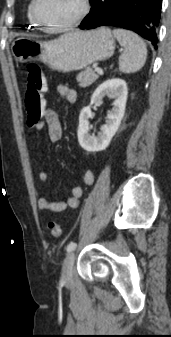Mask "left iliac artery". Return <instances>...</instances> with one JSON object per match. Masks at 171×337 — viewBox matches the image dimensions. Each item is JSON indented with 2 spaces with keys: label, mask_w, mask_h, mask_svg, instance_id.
Returning a JSON list of instances; mask_svg holds the SVG:
<instances>
[{
  "label": "left iliac artery",
  "mask_w": 171,
  "mask_h": 337,
  "mask_svg": "<svg viewBox=\"0 0 171 337\" xmlns=\"http://www.w3.org/2000/svg\"><path fill=\"white\" fill-rule=\"evenodd\" d=\"M77 244L75 242H70L67 246V252H71L76 248Z\"/></svg>",
  "instance_id": "obj_1"
}]
</instances>
